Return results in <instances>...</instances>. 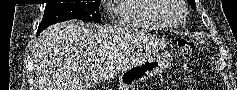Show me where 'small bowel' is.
<instances>
[{
	"mask_svg": "<svg viewBox=\"0 0 237 90\" xmlns=\"http://www.w3.org/2000/svg\"><path fill=\"white\" fill-rule=\"evenodd\" d=\"M187 90H198V89H196V88H189V89H187Z\"/></svg>",
	"mask_w": 237,
	"mask_h": 90,
	"instance_id": "c3829d8e",
	"label": "small bowel"
}]
</instances>
